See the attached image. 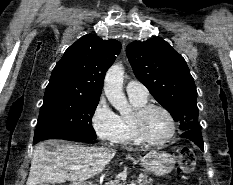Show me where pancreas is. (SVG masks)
<instances>
[{
  "label": "pancreas",
  "instance_id": "1",
  "mask_svg": "<svg viewBox=\"0 0 233 185\" xmlns=\"http://www.w3.org/2000/svg\"><path fill=\"white\" fill-rule=\"evenodd\" d=\"M139 185H152L153 180L148 177L146 174H141L137 180ZM105 185H121L118 180L110 181Z\"/></svg>",
  "mask_w": 233,
  "mask_h": 185
}]
</instances>
